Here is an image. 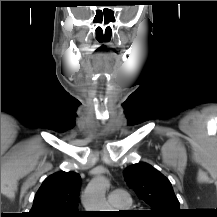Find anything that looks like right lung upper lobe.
Masks as SVG:
<instances>
[{
  "label": "right lung upper lobe",
  "mask_w": 217,
  "mask_h": 217,
  "mask_svg": "<svg viewBox=\"0 0 217 217\" xmlns=\"http://www.w3.org/2000/svg\"><path fill=\"white\" fill-rule=\"evenodd\" d=\"M80 176L60 171L47 177L35 195L28 217L80 216L77 199Z\"/></svg>",
  "instance_id": "1"
}]
</instances>
